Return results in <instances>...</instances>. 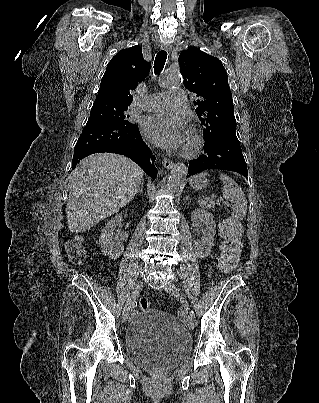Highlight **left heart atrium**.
<instances>
[{"mask_svg": "<svg viewBox=\"0 0 319 403\" xmlns=\"http://www.w3.org/2000/svg\"><path fill=\"white\" fill-rule=\"evenodd\" d=\"M142 129L145 136L155 145L178 149L187 141V132L181 117L175 113L164 112L144 118Z\"/></svg>", "mask_w": 319, "mask_h": 403, "instance_id": "obj_1", "label": "left heart atrium"}]
</instances>
